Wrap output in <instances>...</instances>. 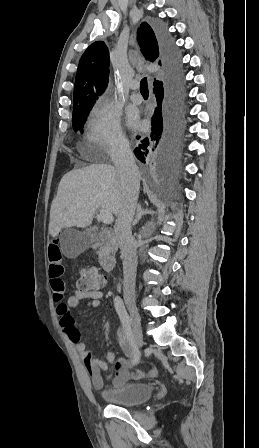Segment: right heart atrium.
<instances>
[{
  "mask_svg": "<svg viewBox=\"0 0 259 448\" xmlns=\"http://www.w3.org/2000/svg\"><path fill=\"white\" fill-rule=\"evenodd\" d=\"M85 142L90 150L114 155L126 145L118 114L102 100L91 109Z\"/></svg>",
  "mask_w": 259,
  "mask_h": 448,
  "instance_id": "obj_1",
  "label": "right heart atrium"
}]
</instances>
